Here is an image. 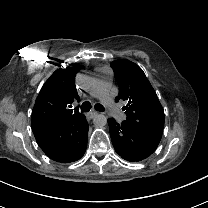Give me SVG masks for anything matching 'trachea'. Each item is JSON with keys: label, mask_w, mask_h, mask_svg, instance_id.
<instances>
[{"label": "trachea", "mask_w": 208, "mask_h": 208, "mask_svg": "<svg viewBox=\"0 0 208 208\" xmlns=\"http://www.w3.org/2000/svg\"><path fill=\"white\" fill-rule=\"evenodd\" d=\"M91 109V103L89 101L84 102L81 105V111L82 112H88ZM95 109L97 111L103 112L104 111V107L101 104H95Z\"/></svg>", "instance_id": "1"}]
</instances>
